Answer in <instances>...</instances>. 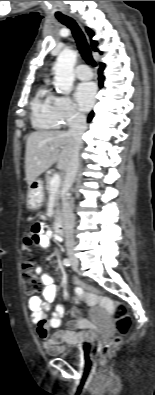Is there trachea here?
Instances as JSON below:
<instances>
[{"instance_id":"1","label":"trachea","mask_w":155,"mask_h":395,"mask_svg":"<svg viewBox=\"0 0 155 395\" xmlns=\"http://www.w3.org/2000/svg\"><path fill=\"white\" fill-rule=\"evenodd\" d=\"M56 18L64 25H66L68 28L71 29L72 34L75 38V41L77 43L78 50L82 56V58L92 66H96V62L94 61L92 57L91 50L89 48V45L87 43L86 37L84 33L82 32L81 28L78 26V24L73 20L72 18L65 16L63 14H58L56 15Z\"/></svg>"}]
</instances>
